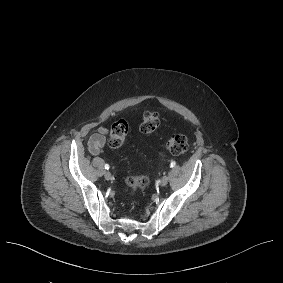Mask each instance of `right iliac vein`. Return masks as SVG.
Masks as SVG:
<instances>
[{"label": "right iliac vein", "mask_w": 283, "mask_h": 283, "mask_svg": "<svg viewBox=\"0 0 283 283\" xmlns=\"http://www.w3.org/2000/svg\"><path fill=\"white\" fill-rule=\"evenodd\" d=\"M104 177H105L106 180H110L112 178V174L109 171H106L104 173Z\"/></svg>", "instance_id": "1"}]
</instances>
